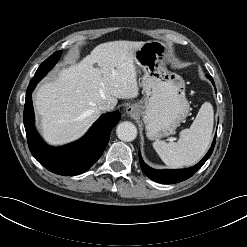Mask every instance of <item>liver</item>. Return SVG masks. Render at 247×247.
<instances>
[{
    "mask_svg": "<svg viewBox=\"0 0 247 247\" xmlns=\"http://www.w3.org/2000/svg\"><path fill=\"white\" fill-rule=\"evenodd\" d=\"M145 42L99 44L78 63L63 68L56 79L40 86L34 104L40 128L51 145L81 138L99 118V106L139 95L134 54ZM98 67H94V65Z\"/></svg>",
    "mask_w": 247,
    "mask_h": 247,
    "instance_id": "6515ba94",
    "label": "liver"
}]
</instances>
